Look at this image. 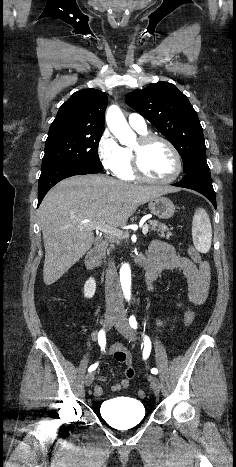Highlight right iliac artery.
I'll list each match as a JSON object with an SVG mask.
<instances>
[{"instance_id": "obj_1", "label": "right iliac artery", "mask_w": 236, "mask_h": 467, "mask_svg": "<svg viewBox=\"0 0 236 467\" xmlns=\"http://www.w3.org/2000/svg\"><path fill=\"white\" fill-rule=\"evenodd\" d=\"M98 343L101 347V351H104L105 346H106V337H105V331L103 329L100 330L98 333ZM97 366H98V363L91 365L88 369V372L94 371L97 368Z\"/></svg>"}]
</instances>
